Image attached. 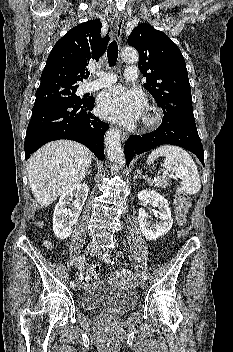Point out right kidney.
<instances>
[{"instance_id":"1","label":"right kidney","mask_w":233,"mask_h":352,"mask_svg":"<svg viewBox=\"0 0 233 352\" xmlns=\"http://www.w3.org/2000/svg\"><path fill=\"white\" fill-rule=\"evenodd\" d=\"M89 188L83 184H77L63 193L55 206L53 216V231L60 239H66L71 235L72 227L77 222L82 208L88 196ZM75 198L72 209H68L69 201Z\"/></svg>"}]
</instances>
